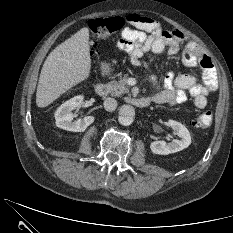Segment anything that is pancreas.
<instances>
[{
	"label": "pancreas",
	"mask_w": 233,
	"mask_h": 233,
	"mask_svg": "<svg viewBox=\"0 0 233 233\" xmlns=\"http://www.w3.org/2000/svg\"><path fill=\"white\" fill-rule=\"evenodd\" d=\"M108 91L111 95L120 96L129 92V86L127 85V76H124L119 81H111L106 84Z\"/></svg>",
	"instance_id": "1"
}]
</instances>
